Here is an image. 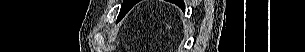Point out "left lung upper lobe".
Instances as JSON below:
<instances>
[{"label": "left lung upper lobe", "mask_w": 305, "mask_h": 52, "mask_svg": "<svg viewBox=\"0 0 305 52\" xmlns=\"http://www.w3.org/2000/svg\"><path fill=\"white\" fill-rule=\"evenodd\" d=\"M136 2V0H123L118 19L121 20L127 14V12L136 4ZM175 3L180 6L183 5V3Z\"/></svg>", "instance_id": "obj_1"}]
</instances>
